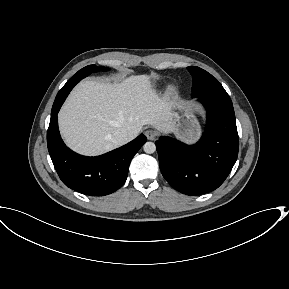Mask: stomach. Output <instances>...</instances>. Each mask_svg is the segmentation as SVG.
I'll list each match as a JSON object with an SVG mask.
<instances>
[{
	"label": "stomach",
	"instance_id": "0dacf381",
	"mask_svg": "<svg viewBox=\"0 0 289 289\" xmlns=\"http://www.w3.org/2000/svg\"><path fill=\"white\" fill-rule=\"evenodd\" d=\"M173 128L176 137L187 142H194L200 135V125L192 111L179 102H174L172 107Z\"/></svg>",
	"mask_w": 289,
	"mask_h": 289
}]
</instances>
